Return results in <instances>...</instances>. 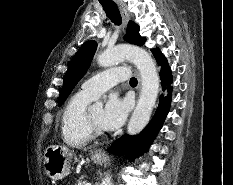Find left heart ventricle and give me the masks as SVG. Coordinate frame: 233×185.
<instances>
[{
    "label": "left heart ventricle",
    "mask_w": 233,
    "mask_h": 185,
    "mask_svg": "<svg viewBox=\"0 0 233 185\" xmlns=\"http://www.w3.org/2000/svg\"><path fill=\"white\" fill-rule=\"evenodd\" d=\"M102 109L101 108H97V109H94L90 112V116L92 118V120L100 127L102 128L101 126V117H102Z\"/></svg>",
    "instance_id": "left-heart-ventricle-1"
}]
</instances>
